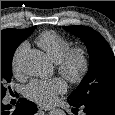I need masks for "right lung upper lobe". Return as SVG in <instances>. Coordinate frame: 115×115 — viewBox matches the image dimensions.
Wrapping results in <instances>:
<instances>
[{"instance_id":"obj_1","label":"right lung upper lobe","mask_w":115,"mask_h":115,"mask_svg":"<svg viewBox=\"0 0 115 115\" xmlns=\"http://www.w3.org/2000/svg\"><path fill=\"white\" fill-rule=\"evenodd\" d=\"M35 27L1 30V48L16 50L19 44L34 31Z\"/></svg>"}]
</instances>
